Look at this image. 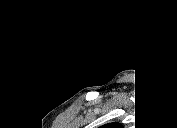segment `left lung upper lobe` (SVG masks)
<instances>
[{
  "instance_id": "1",
  "label": "left lung upper lobe",
  "mask_w": 177,
  "mask_h": 128,
  "mask_svg": "<svg viewBox=\"0 0 177 128\" xmlns=\"http://www.w3.org/2000/svg\"><path fill=\"white\" fill-rule=\"evenodd\" d=\"M109 125H111V127H112V126H117L118 124H116V123H113V124H109Z\"/></svg>"
}]
</instances>
